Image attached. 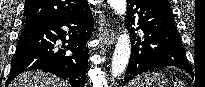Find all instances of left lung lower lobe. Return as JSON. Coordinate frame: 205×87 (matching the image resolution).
Masks as SVG:
<instances>
[{
    "mask_svg": "<svg viewBox=\"0 0 205 87\" xmlns=\"http://www.w3.org/2000/svg\"><path fill=\"white\" fill-rule=\"evenodd\" d=\"M137 24L136 29L132 25ZM126 26L131 27V57L124 84L157 67L175 66L191 72L168 0H128ZM144 32V40L135 30Z\"/></svg>",
    "mask_w": 205,
    "mask_h": 87,
    "instance_id": "1",
    "label": "left lung lower lobe"
}]
</instances>
